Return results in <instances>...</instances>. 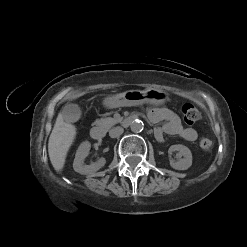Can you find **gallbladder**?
Listing matches in <instances>:
<instances>
[{"instance_id":"bac80fb5","label":"gallbladder","mask_w":247,"mask_h":247,"mask_svg":"<svg viewBox=\"0 0 247 247\" xmlns=\"http://www.w3.org/2000/svg\"><path fill=\"white\" fill-rule=\"evenodd\" d=\"M65 122H75L81 117V110L77 104H68L62 111Z\"/></svg>"}]
</instances>
